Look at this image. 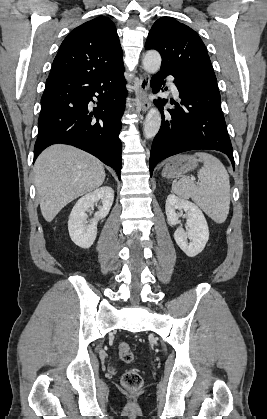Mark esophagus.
Masks as SVG:
<instances>
[{"mask_svg": "<svg viewBox=\"0 0 267 419\" xmlns=\"http://www.w3.org/2000/svg\"><path fill=\"white\" fill-rule=\"evenodd\" d=\"M150 75L148 73H142L139 80V89L137 95V102L139 108L146 112L150 106L151 101L148 98Z\"/></svg>", "mask_w": 267, "mask_h": 419, "instance_id": "obj_1", "label": "esophagus"}]
</instances>
